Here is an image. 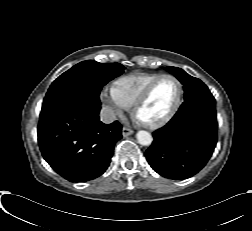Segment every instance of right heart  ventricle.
I'll return each mask as SVG.
<instances>
[{
    "label": "right heart ventricle",
    "mask_w": 252,
    "mask_h": 231,
    "mask_svg": "<svg viewBox=\"0 0 252 231\" xmlns=\"http://www.w3.org/2000/svg\"><path fill=\"white\" fill-rule=\"evenodd\" d=\"M159 76L156 73L130 74L117 79L113 87L118 97L131 107L145 88Z\"/></svg>",
    "instance_id": "1"
}]
</instances>
